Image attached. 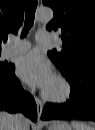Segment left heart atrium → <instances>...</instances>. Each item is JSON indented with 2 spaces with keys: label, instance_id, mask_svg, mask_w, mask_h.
<instances>
[{
  "label": "left heart atrium",
  "instance_id": "1",
  "mask_svg": "<svg viewBox=\"0 0 95 130\" xmlns=\"http://www.w3.org/2000/svg\"><path fill=\"white\" fill-rule=\"evenodd\" d=\"M17 74L29 85L43 88L53 79L50 63L37 51H32L19 60Z\"/></svg>",
  "mask_w": 95,
  "mask_h": 130
}]
</instances>
